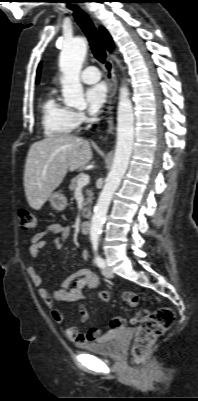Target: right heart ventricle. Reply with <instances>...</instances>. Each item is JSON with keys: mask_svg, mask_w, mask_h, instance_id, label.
<instances>
[{"mask_svg": "<svg viewBox=\"0 0 198 401\" xmlns=\"http://www.w3.org/2000/svg\"><path fill=\"white\" fill-rule=\"evenodd\" d=\"M40 108L46 135L50 137L66 136L76 128L73 111L59 102L54 89L46 94Z\"/></svg>", "mask_w": 198, "mask_h": 401, "instance_id": "right-heart-ventricle-1", "label": "right heart ventricle"}]
</instances>
